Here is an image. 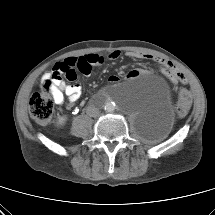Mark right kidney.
<instances>
[{
    "label": "right kidney",
    "instance_id": "right-kidney-1",
    "mask_svg": "<svg viewBox=\"0 0 215 215\" xmlns=\"http://www.w3.org/2000/svg\"><path fill=\"white\" fill-rule=\"evenodd\" d=\"M66 119H67L66 116H63V117L59 118L58 121L56 122V125H57L58 127L63 126V125L65 124V122H66Z\"/></svg>",
    "mask_w": 215,
    "mask_h": 215
}]
</instances>
